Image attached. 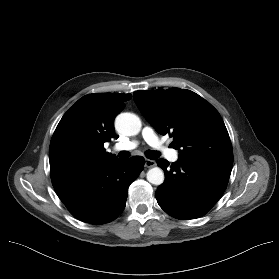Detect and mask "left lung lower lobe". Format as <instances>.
I'll return each instance as SVG.
<instances>
[{
	"mask_svg": "<svg viewBox=\"0 0 279 279\" xmlns=\"http://www.w3.org/2000/svg\"><path fill=\"white\" fill-rule=\"evenodd\" d=\"M165 181L155 193L159 206L177 219H195L206 214L226 189L232 163L182 159L157 161Z\"/></svg>",
	"mask_w": 279,
	"mask_h": 279,
	"instance_id": "obj_1",
	"label": "left lung lower lobe"
}]
</instances>
